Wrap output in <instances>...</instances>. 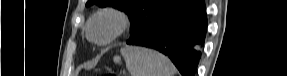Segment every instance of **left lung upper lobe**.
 <instances>
[{"label": "left lung upper lobe", "instance_id": "1", "mask_svg": "<svg viewBox=\"0 0 287 76\" xmlns=\"http://www.w3.org/2000/svg\"><path fill=\"white\" fill-rule=\"evenodd\" d=\"M184 0H88L86 6H112L128 14L131 21L130 38L141 34L157 17Z\"/></svg>", "mask_w": 287, "mask_h": 76}]
</instances>
